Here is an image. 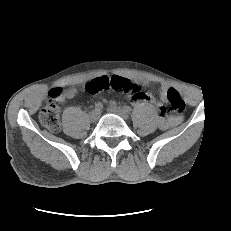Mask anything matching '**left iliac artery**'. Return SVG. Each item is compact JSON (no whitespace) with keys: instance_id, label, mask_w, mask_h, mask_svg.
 I'll return each instance as SVG.
<instances>
[{"instance_id":"left-iliac-artery-1","label":"left iliac artery","mask_w":231,"mask_h":231,"mask_svg":"<svg viewBox=\"0 0 231 231\" xmlns=\"http://www.w3.org/2000/svg\"><path fill=\"white\" fill-rule=\"evenodd\" d=\"M123 109H124V111L127 112V113H130L131 110H132L130 106H126V105L123 106Z\"/></svg>"}]
</instances>
